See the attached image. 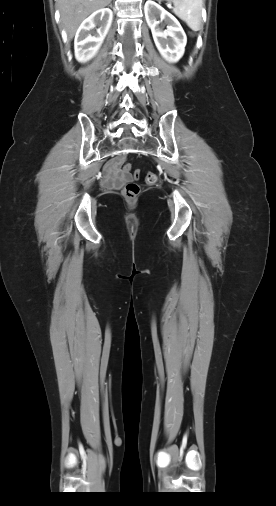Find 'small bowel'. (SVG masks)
<instances>
[{
    "instance_id": "1",
    "label": "small bowel",
    "mask_w": 276,
    "mask_h": 506,
    "mask_svg": "<svg viewBox=\"0 0 276 506\" xmlns=\"http://www.w3.org/2000/svg\"><path fill=\"white\" fill-rule=\"evenodd\" d=\"M122 159L117 158L110 161L104 169L103 185L106 187H116L121 183L130 179L127 172H121L118 166L121 164Z\"/></svg>"
}]
</instances>
